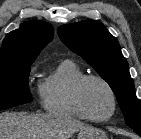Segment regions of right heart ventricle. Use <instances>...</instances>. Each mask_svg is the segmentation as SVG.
I'll list each match as a JSON object with an SVG mask.
<instances>
[{"label": "right heart ventricle", "mask_w": 141, "mask_h": 139, "mask_svg": "<svg viewBox=\"0 0 141 139\" xmlns=\"http://www.w3.org/2000/svg\"><path fill=\"white\" fill-rule=\"evenodd\" d=\"M85 74L73 60L65 59L39 84L43 108L52 114L83 119L73 99L75 83Z\"/></svg>", "instance_id": "1"}]
</instances>
